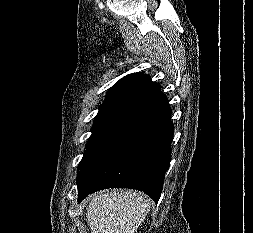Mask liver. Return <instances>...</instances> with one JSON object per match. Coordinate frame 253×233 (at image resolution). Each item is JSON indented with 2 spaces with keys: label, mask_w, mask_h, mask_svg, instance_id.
<instances>
[{
  "label": "liver",
  "mask_w": 253,
  "mask_h": 233,
  "mask_svg": "<svg viewBox=\"0 0 253 233\" xmlns=\"http://www.w3.org/2000/svg\"><path fill=\"white\" fill-rule=\"evenodd\" d=\"M150 211L143 193L112 190L93 195L86 209L91 233H135Z\"/></svg>",
  "instance_id": "6515ba94"
}]
</instances>
